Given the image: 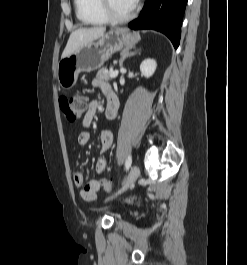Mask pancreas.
<instances>
[{
	"instance_id": "pancreas-1",
	"label": "pancreas",
	"mask_w": 247,
	"mask_h": 265,
	"mask_svg": "<svg viewBox=\"0 0 247 265\" xmlns=\"http://www.w3.org/2000/svg\"><path fill=\"white\" fill-rule=\"evenodd\" d=\"M112 70H108L106 67L101 68L96 75V78L99 80H109L110 74H111Z\"/></svg>"
}]
</instances>
